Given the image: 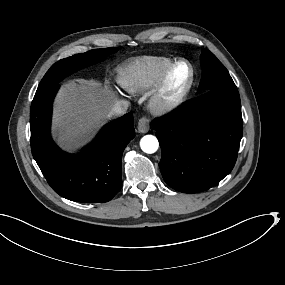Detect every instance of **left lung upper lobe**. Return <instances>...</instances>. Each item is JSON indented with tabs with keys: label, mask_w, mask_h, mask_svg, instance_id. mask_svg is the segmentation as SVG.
I'll return each instance as SVG.
<instances>
[{
	"label": "left lung upper lobe",
	"mask_w": 285,
	"mask_h": 285,
	"mask_svg": "<svg viewBox=\"0 0 285 285\" xmlns=\"http://www.w3.org/2000/svg\"><path fill=\"white\" fill-rule=\"evenodd\" d=\"M200 59L202 78L199 89L209 91L236 87L227 69L209 50L203 49Z\"/></svg>",
	"instance_id": "obj_1"
}]
</instances>
